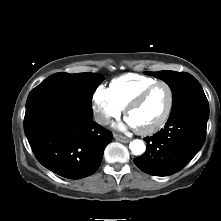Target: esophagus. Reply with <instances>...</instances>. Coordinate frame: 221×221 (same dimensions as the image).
Listing matches in <instances>:
<instances>
[{"label":"esophagus","mask_w":221,"mask_h":221,"mask_svg":"<svg viewBox=\"0 0 221 221\" xmlns=\"http://www.w3.org/2000/svg\"><path fill=\"white\" fill-rule=\"evenodd\" d=\"M114 138L119 141V142H122V143H128L130 141L129 138L125 137V136H122L120 134H114Z\"/></svg>","instance_id":"esophagus-1"}]
</instances>
